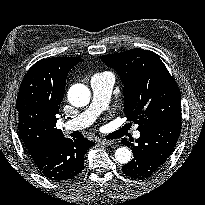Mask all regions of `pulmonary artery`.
Segmentation results:
<instances>
[{
	"label": "pulmonary artery",
	"mask_w": 205,
	"mask_h": 205,
	"mask_svg": "<svg viewBox=\"0 0 205 205\" xmlns=\"http://www.w3.org/2000/svg\"><path fill=\"white\" fill-rule=\"evenodd\" d=\"M115 83V77L110 72L94 74L90 79L92 101L90 105L75 118L64 123L65 130H80L90 126L97 117L108 110L111 92ZM135 138L140 137V132H133Z\"/></svg>",
	"instance_id": "1"
}]
</instances>
